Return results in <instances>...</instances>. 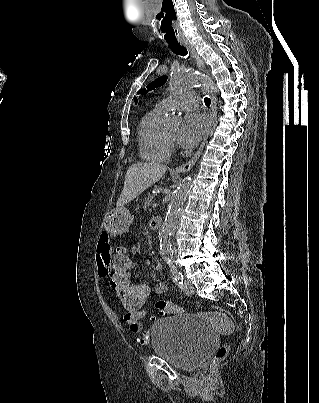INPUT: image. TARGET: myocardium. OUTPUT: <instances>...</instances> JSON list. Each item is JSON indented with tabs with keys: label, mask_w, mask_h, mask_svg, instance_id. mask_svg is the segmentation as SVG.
<instances>
[{
	"label": "myocardium",
	"mask_w": 319,
	"mask_h": 403,
	"mask_svg": "<svg viewBox=\"0 0 319 403\" xmlns=\"http://www.w3.org/2000/svg\"><path fill=\"white\" fill-rule=\"evenodd\" d=\"M165 139H166V142H167V145H168L169 149H170V150L173 149L174 146H175V141H174V139H172V138L166 133V131H165Z\"/></svg>",
	"instance_id": "myocardium-1"
}]
</instances>
